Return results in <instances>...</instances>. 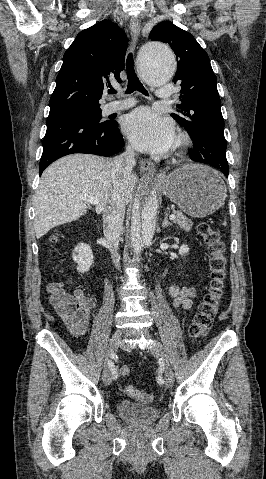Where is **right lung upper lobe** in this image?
<instances>
[{
  "mask_svg": "<svg viewBox=\"0 0 266 479\" xmlns=\"http://www.w3.org/2000/svg\"><path fill=\"white\" fill-rule=\"evenodd\" d=\"M127 45L125 32L109 20L81 31L63 56L49 101L50 114L100 107L98 101L109 79L121 82Z\"/></svg>",
  "mask_w": 266,
  "mask_h": 479,
  "instance_id": "obj_1",
  "label": "right lung upper lobe"
}]
</instances>
